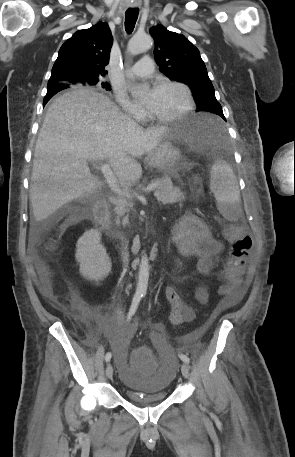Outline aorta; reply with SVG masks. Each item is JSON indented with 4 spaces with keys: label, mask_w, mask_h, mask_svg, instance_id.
Segmentation results:
<instances>
[{
    "label": "aorta",
    "mask_w": 295,
    "mask_h": 457,
    "mask_svg": "<svg viewBox=\"0 0 295 457\" xmlns=\"http://www.w3.org/2000/svg\"><path fill=\"white\" fill-rule=\"evenodd\" d=\"M152 45L151 37L147 34H135L128 42L127 51L131 55H138L147 51ZM149 280V262L147 255L141 258L136 292L146 294Z\"/></svg>",
    "instance_id": "1"
}]
</instances>
